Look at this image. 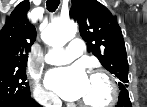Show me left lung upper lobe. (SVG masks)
<instances>
[{
    "mask_svg": "<svg viewBox=\"0 0 147 107\" xmlns=\"http://www.w3.org/2000/svg\"><path fill=\"white\" fill-rule=\"evenodd\" d=\"M70 17L77 20L88 51L127 88L128 61L121 28L111 12L97 0H71Z\"/></svg>",
    "mask_w": 147,
    "mask_h": 107,
    "instance_id": "obj_1",
    "label": "left lung upper lobe"
}]
</instances>
